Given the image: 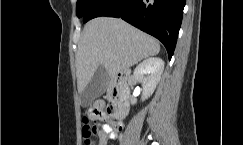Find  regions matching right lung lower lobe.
Segmentation results:
<instances>
[{
    "label": "right lung lower lobe",
    "mask_w": 243,
    "mask_h": 145,
    "mask_svg": "<svg viewBox=\"0 0 243 145\" xmlns=\"http://www.w3.org/2000/svg\"><path fill=\"white\" fill-rule=\"evenodd\" d=\"M185 0H96L83 16V22L95 17L122 18L133 26L159 39L171 59Z\"/></svg>",
    "instance_id": "right-lung-lower-lobe-1"
}]
</instances>
